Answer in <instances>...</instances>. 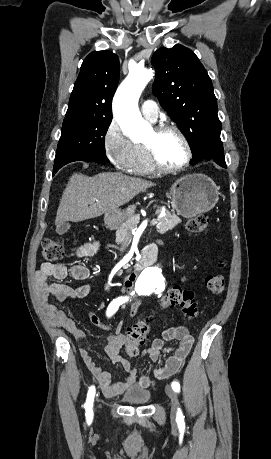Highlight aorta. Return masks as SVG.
Segmentation results:
<instances>
[{"label":"aorta","instance_id":"1","mask_svg":"<svg viewBox=\"0 0 271 459\" xmlns=\"http://www.w3.org/2000/svg\"><path fill=\"white\" fill-rule=\"evenodd\" d=\"M152 69L135 68L118 87L113 99V114L121 129L134 139H142L149 132V126L142 118L139 97L153 78ZM166 270L159 261L147 262L136 279L138 293L150 295L161 293L165 289Z\"/></svg>","mask_w":271,"mask_h":459}]
</instances>
